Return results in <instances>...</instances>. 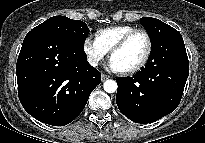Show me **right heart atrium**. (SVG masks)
I'll use <instances>...</instances> for the list:
<instances>
[{"mask_svg":"<svg viewBox=\"0 0 205 143\" xmlns=\"http://www.w3.org/2000/svg\"><path fill=\"white\" fill-rule=\"evenodd\" d=\"M83 51L89 64L94 67L98 66L108 54V51L96 39L91 37L85 38Z\"/></svg>","mask_w":205,"mask_h":143,"instance_id":"right-heart-atrium-1","label":"right heart atrium"}]
</instances>
